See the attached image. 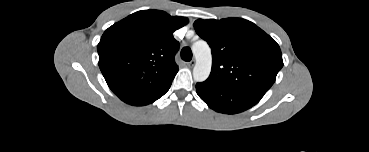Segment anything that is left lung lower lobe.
<instances>
[{
    "instance_id": "1",
    "label": "left lung lower lobe",
    "mask_w": 369,
    "mask_h": 152,
    "mask_svg": "<svg viewBox=\"0 0 369 152\" xmlns=\"http://www.w3.org/2000/svg\"><path fill=\"white\" fill-rule=\"evenodd\" d=\"M198 96L213 110L226 114L243 112L255 104L261 97L245 93L232 91L210 82L196 84Z\"/></svg>"
}]
</instances>
